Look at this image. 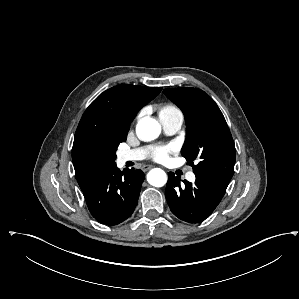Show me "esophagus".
<instances>
[{"label":"esophagus","instance_id":"1","mask_svg":"<svg viewBox=\"0 0 299 299\" xmlns=\"http://www.w3.org/2000/svg\"><path fill=\"white\" fill-rule=\"evenodd\" d=\"M151 168H152L151 165H143V166L141 167L142 171H144V172L150 170Z\"/></svg>","mask_w":299,"mask_h":299}]
</instances>
